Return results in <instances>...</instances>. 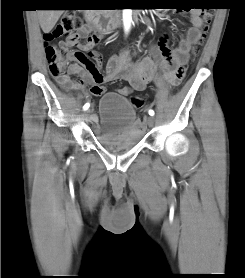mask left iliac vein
Masks as SVG:
<instances>
[{
  "instance_id": "obj_1",
  "label": "left iliac vein",
  "mask_w": 245,
  "mask_h": 278,
  "mask_svg": "<svg viewBox=\"0 0 245 278\" xmlns=\"http://www.w3.org/2000/svg\"><path fill=\"white\" fill-rule=\"evenodd\" d=\"M154 122H155V119L153 116H149L146 118V124L149 126V127H152L154 125Z\"/></svg>"
}]
</instances>
